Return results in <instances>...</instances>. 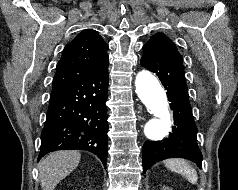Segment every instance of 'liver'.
Returning a JSON list of instances; mask_svg holds the SVG:
<instances>
[{"instance_id": "obj_1", "label": "liver", "mask_w": 238, "mask_h": 190, "mask_svg": "<svg viewBox=\"0 0 238 190\" xmlns=\"http://www.w3.org/2000/svg\"><path fill=\"white\" fill-rule=\"evenodd\" d=\"M79 151H56L39 162V175L42 190H54L57 184L67 177L79 164Z\"/></svg>"}]
</instances>
